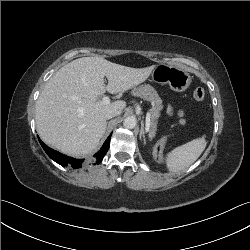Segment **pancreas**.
Segmentation results:
<instances>
[{
  "instance_id": "1",
  "label": "pancreas",
  "mask_w": 250,
  "mask_h": 250,
  "mask_svg": "<svg viewBox=\"0 0 250 250\" xmlns=\"http://www.w3.org/2000/svg\"><path fill=\"white\" fill-rule=\"evenodd\" d=\"M131 93L133 96L140 97L153 103V106L150 110L151 124L149 128V137L153 138L157 130V119L160 117V111L163 108L162 99L158 95L157 91L150 85H140L135 87ZM165 141L166 137L162 138L160 143L163 144Z\"/></svg>"
}]
</instances>
